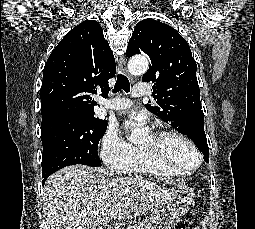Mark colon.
Here are the masks:
<instances>
[{
    "instance_id": "colon-1",
    "label": "colon",
    "mask_w": 255,
    "mask_h": 229,
    "mask_svg": "<svg viewBox=\"0 0 255 229\" xmlns=\"http://www.w3.org/2000/svg\"><path fill=\"white\" fill-rule=\"evenodd\" d=\"M173 229H194L188 220H179L173 226Z\"/></svg>"
}]
</instances>
